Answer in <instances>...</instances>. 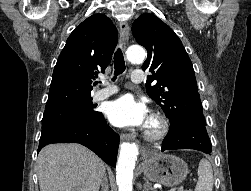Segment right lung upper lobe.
<instances>
[{
    "label": "right lung upper lobe",
    "mask_w": 251,
    "mask_h": 191,
    "mask_svg": "<svg viewBox=\"0 0 251 191\" xmlns=\"http://www.w3.org/2000/svg\"><path fill=\"white\" fill-rule=\"evenodd\" d=\"M117 40V29L104 14L78 25L58 57L45 108L91 98L92 81L105 72Z\"/></svg>",
    "instance_id": "right-lung-upper-lobe-1"
}]
</instances>
